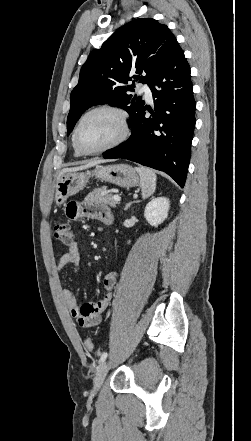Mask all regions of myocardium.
Returning a JSON list of instances; mask_svg holds the SVG:
<instances>
[{
  "instance_id": "obj_1",
  "label": "myocardium",
  "mask_w": 251,
  "mask_h": 441,
  "mask_svg": "<svg viewBox=\"0 0 251 441\" xmlns=\"http://www.w3.org/2000/svg\"><path fill=\"white\" fill-rule=\"evenodd\" d=\"M99 111H108V112L115 114L120 122L121 132L118 135V137L116 139H114L112 142H110L109 144H107L101 148L95 149V150H85L81 147V145L79 143L80 128H81L84 120L89 115L96 113V112H99ZM129 135H130V124H129V118H128L127 112L125 110H123L122 108L111 105V104H101V105H98V106H95V107L89 109L81 116V118L79 119V121L74 129L73 141H74V145H75L76 149L82 155H96V154H101L103 152H106L108 150H111V149L119 146L129 137Z\"/></svg>"
}]
</instances>
